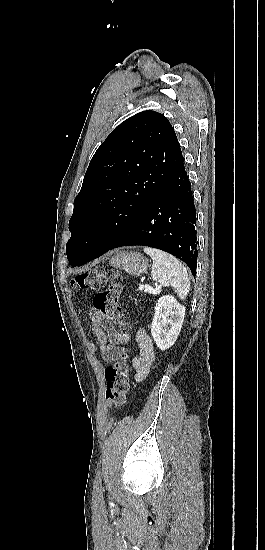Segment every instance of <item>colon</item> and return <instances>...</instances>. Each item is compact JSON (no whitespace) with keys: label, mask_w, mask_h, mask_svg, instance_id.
<instances>
[{"label":"colon","mask_w":265,"mask_h":550,"mask_svg":"<svg viewBox=\"0 0 265 550\" xmlns=\"http://www.w3.org/2000/svg\"><path fill=\"white\" fill-rule=\"evenodd\" d=\"M108 284L106 290L98 292L93 298L94 308L115 324L125 327V316L119 304V297L124 289L123 277L103 268H93L77 274L71 280L77 291L99 290ZM105 402L109 408L121 407L126 401L130 388V365L127 357H122L109 365L105 370Z\"/></svg>","instance_id":"5ec220e1"}]
</instances>
